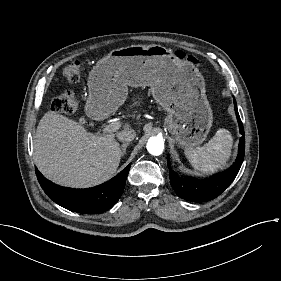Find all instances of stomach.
Here are the masks:
<instances>
[{"mask_svg": "<svg viewBox=\"0 0 281 281\" xmlns=\"http://www.w3.org/2000/svg\"><path fill=\"white\" fill-rule=\"evenodd\" d=\"M128 86H150L167 112L165 126L181 148H194L207 138L213 111L205 80L190 61L160 45H131L114 49L91 70L86 116L106 118L126 100Z\"/></svg>", "mask_w": 281, "mask_h": 281, "instance_id": "stomach-1", "label": "stomach"}]
</instances>
